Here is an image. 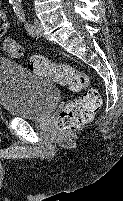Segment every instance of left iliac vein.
I'll return each instance as SVG.
<instances>
[{
    "label": "left iliac vein",
    "instance_id": "4c4485c4",
    "mask_svg": "<svg viewBox=\"0 0 123 201\" xmlns=\"http://www.w3.org/2000/svg\"><path fill=\"white\" fill-rule=\"evenodd\" d=\"M34 28H35L34 36L41 37L43 35V28L41 23L37 19L34 20Z\"/></svg>",
    "mask_w": 123,
    "mask_h": 201
}]
</instances>
